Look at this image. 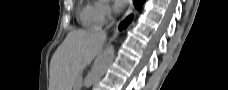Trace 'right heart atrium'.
<instances>
[{
  "label": "right heart atrium",
  "instance_id": "right-heart-atrium-1",
  "mask_svg": "<svg viewBox=\"0 0 228 90\" xmlns=\"http://www.w3.org/2000/svg\"><path fill=\"white\" fill-rule=\"evenodd\" d=\"M94 19L98 25L106 23L112 15V8L108 1L99 0L94 3Z\"/></svg>",
  "mask_w": 228,
  "mask_h": 90
}]
</instances>
